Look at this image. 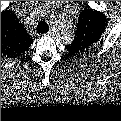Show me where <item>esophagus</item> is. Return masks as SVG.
<instances>
[{
  "label": "esophagus",
  "instance_id": "obj_1",
  "mask_svg": "<svg viewBox=\"0 0 121 121\" xmlns=\"http://www.w3.org/2000/svg\"><path fill=\"white\" fill-rule=\"evenodd\" d=\"M50 35L52 34V32H51V30H49V32H48Z\"/></svg>",
  "mask_w": 121,
  "mask_h": 121
}]
</instances>
